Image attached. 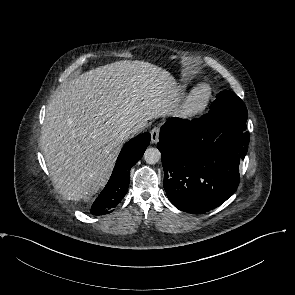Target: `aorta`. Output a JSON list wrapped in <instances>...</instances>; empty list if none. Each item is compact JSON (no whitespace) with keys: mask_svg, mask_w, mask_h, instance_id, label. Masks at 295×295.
Instances as JSON below:
<instances>
[{"mask_svg":"<svg viewBox=\"0 0 295 295\" xmlns=\"http://www.w3.org/2000/svg\"><path fill=\"white\" fill-rule=\"evenodd\" d=\"M144 159L148 164H156L161 159V153L157 148H147Z\"/></svg>","mask_w":295,"mask_h":295,"instance_id":"obj_1","label":"aorta"}]
</instances>
